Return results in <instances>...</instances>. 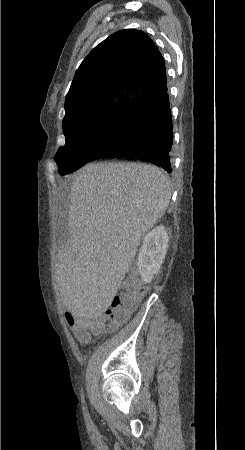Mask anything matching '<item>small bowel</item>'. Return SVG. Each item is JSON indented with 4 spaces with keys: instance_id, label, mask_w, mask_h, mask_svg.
Returning a JSON list of instances; mask_svg holds the SVG:
<instances>
[{
    "instance_id": "small-bowel-1",
    "label": "small bowel",
    "mask_w": 245,
    "mask_h": 450,
    "mask_svg": "<svg viewBox=\"0 0 245 450\" xmlns=\"http://www.w3.org/2000/svg\"><path fill=\"white\" fill-rule=\"evenodd\" d=\"M78 282L76 280L71 281V287L75 288L77 287ZM65 321L71 328L72 332L74 333L75 337L79 339L80 341H88L90 339V336L87 335L86 337H83L76 329V325L82 321V318L80 315H78L75 311V308L71 301H68L65 305V313H64Z\"/></svg>"
}]
</instances>
